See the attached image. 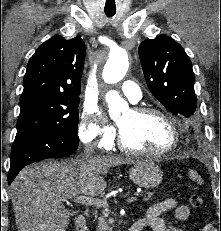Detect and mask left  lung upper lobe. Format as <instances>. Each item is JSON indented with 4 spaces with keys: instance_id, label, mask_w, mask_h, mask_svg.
<instances>
[{
    "instance_id": "obj_1",
    "label": "left lung upper lobe",
    "mask_w": 221,
    "mask_h": 231,
    "mask_svg": "<svg viewBox=\"0 0 221 231\" xmlns=\"http://www.w3.org/2000/svg\"><path fill=\"white\" fill-rule=\"evenodd\" d=\"M139 57L151 93L170 112L186 118L196 110L192 63L182 46L166 35L146 39Z\"/></svg>"
}]
</instances>
